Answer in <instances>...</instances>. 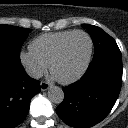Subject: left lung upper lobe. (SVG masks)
<instances>
[{
    "instance_id": "1",
    "label": "left lung upper lobe",
    "mask_w": 128,
    "mask_h": 128,
    "mask_svg": "<svg viewBox=\"0 0 128 128\" xmlns=\"http://www.w3.org/2000/svg\"><path fill=\"white\" fill-rule=\"evenodd\" d=\"M82 26L87 29L92 37L95 45L94 57L105 51L119 50L115 40L101 28L90 24H83Z\"/></svg>"
}]
</instances>
